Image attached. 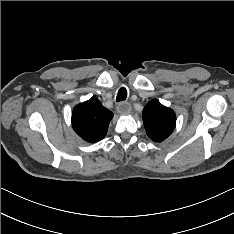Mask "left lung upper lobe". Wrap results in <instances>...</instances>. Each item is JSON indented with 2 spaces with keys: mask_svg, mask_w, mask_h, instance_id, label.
Segmentation results:
<instances>
[{
  "mask_svg": "<svg viewBox=\"0 0 234 234\" xmlns=\"http://www.w3.org/2000/svg\"><path fill=\"white\" fill-rule=\"evenodd\" d=\"M143 122L147 135L153 141L161 142L174 130L176 115L172 109L152 100L144 107Z\"/></svg>",
  "mask_w": 234,
  "mask_h": 234,
  "instance_id": "1",
  "label": "left lung upper lobe"
}]
</instances>
